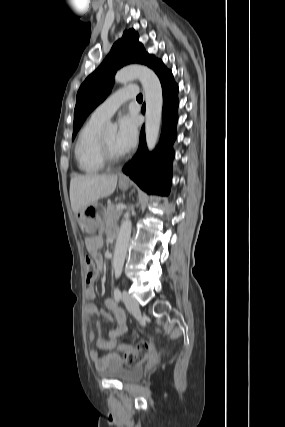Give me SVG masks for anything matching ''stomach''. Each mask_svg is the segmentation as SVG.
Wrapping results in <instances>:
<instances>
[{
	"mask_svg": "<svg viewBox=\"0 0 285 427\" xmlns=\"http://www.w3.org/2000/svg\"><path fill=\"white\" fill-rule=\"evenodd\" d=\"M130 186L129 182H119V187L122 190H127ZM103 208L95 203L85 208L80 212L79 225L81 229L91 237L96 230L104 223Z\"/></svg>",
	"mask_w": 285,
	"mask_h": 427,
	"instance_id": "1",
	"label": "stomach"
}]
</instances>
